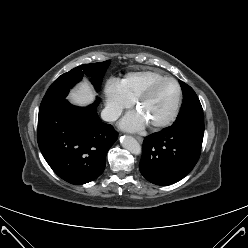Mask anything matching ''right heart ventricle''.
Returning <instances> with one entry per match:
<instances>
[{"mask_svg":"<svg viewBox=\"0 0 248 248\" xmlns=\"http://www.w3.org/2000/svg\"><path fill=\"white\" fill-rule=\"evenodd\" d=\"M165 77L163 74L153 71H137L128 73L121 81L125 93L132 99L144 91L152 82Z\"/></svg>","mask_w":248,"mask_h":248,"instance_id":"obj_1","label":"right heart ventricle"}]
</instances>
